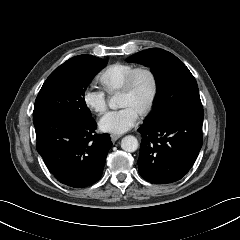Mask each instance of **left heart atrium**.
I'll return each mask as SVG.
<instances>
[{"label":"left heart atrium","instance_id":"39dd6f15","mask_svg":"<svg viewBox=\"0 0 240 240\" xmlns=\"http://www.w3.org/2000/svg\"><path fill=\"white\" fill-rule=\"evenodd\" d=\"M138 113L130 107H122L105 113L99 120L103 132L119 135L135 126Z\"/></svg>","mask_w":240,"mask_h":240}]
</instances>
